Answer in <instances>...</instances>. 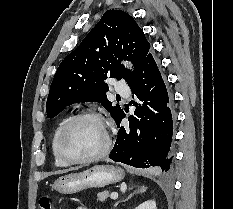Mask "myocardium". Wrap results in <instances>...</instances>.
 Returning <instances> with one entry per match:
<instances>
[{
  "label": "myocardium",
  "mask_w": 233,
  "mask_h": 209,
  "mask_svg": "<svg viewBox=\"0 0 233 209\" xmlns=\"http://www.w3.org/2000/svg\"><path fill=\"white\" fill-rule=\"evenodd\" d=\"M84 118H92V119H96L99 122H101V124L104 127L105 134H106L105 143L100 151H98L97 153H95L91 156L83 157V158H73V157H70L66 153V151L64 149V142H65V139H66V136H67V133H68L70 127L76 121H78L80 119H84ZM111 145H112V136H111V133H110V131L105 123L103 116L101 114H99L98 112H95L92 110H84V111H81V112L69 117L65 121V123L62 126V129L60 131V134H59L57 149H58V154H59L60 158L63 161H65L66 163H68V164H87V163L97 161V160L103 158L104 156H106L108 154V152L110 151Z\"/></svg>",
  "instance_id": "f54148a6"
}]
</instances>
